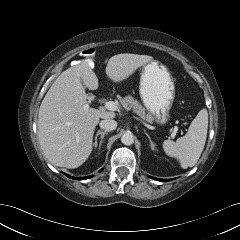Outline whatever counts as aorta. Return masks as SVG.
I'll list each match as a JSON object with an SVG mask.
<instances>
[{
	"instance_id": "1",
	"label": "aorta",
	"mask_w": 240,
	"mask_h": 240,
	"mask_svg": "<svg viewBox=\"0 0 240 240\" xmlns=\"http://www.w3.org/2000/svg\"><path fill=\"white\" fill-rule=\"evenodd\" d=\"M121 142L127 146L132 145L134 143L133 134L131 132L124 133L121 137Z\"/></svg>"
}]
</instances>
